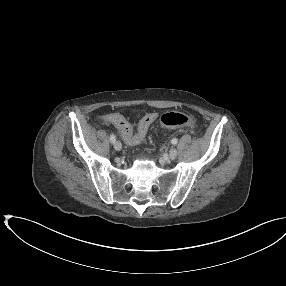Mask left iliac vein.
I'll return each instance as SVG.
<instances>
[{"label": "left iliac vein", "mask_w": 286, "mask_h": 286, "mask_svg": "<svg viewBox=\"0 0 286 286\" xmlns=\"http://www.w3.org/2000/svg\"><path fill=\"white\" fill-rule=\"evenodd\" d=\"M177 155H178V151L176 148L170 149V151H169V158L170 159H175L177 157Z\"/></svg>", "instance_id": "obj_1"}]
</instances>
